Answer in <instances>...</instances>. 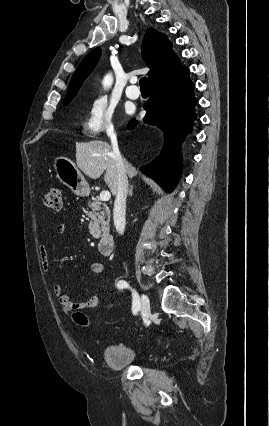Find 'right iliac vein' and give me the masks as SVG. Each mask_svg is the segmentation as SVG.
I'll return each instance as SVG.
<instances>
[{"mask_svg":"<svg viewBox=\"0 0 269 426\" xmlns=\"http://www.w3.org/2000/svg\"><path fill=\"white\" fill-rule=\"evenodd\" d=\"M141 312L143 317H148L150 314V300L146 294L141 296Z\"/></svg>","mask_w":269,"mask_h":426,"instance_id":"right-iliac-vein-1","label":"right iliac vein"}]
</instances>
